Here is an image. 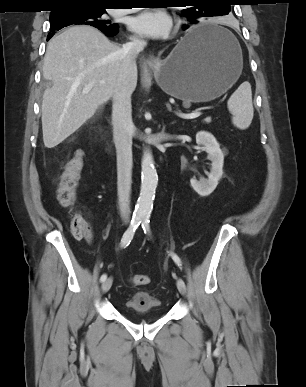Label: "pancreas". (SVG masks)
Listing matches in <instances>:
<instances>
[{"label": "pancreas", "mask_w": 306, "mask_h": 387, "mask_svg": "<svg viewBox=\"0 0 306 387\" xmlns=\"http://www.w3.org/2000/svg\"><path fill=\"white\" fill-rule=\"evenodd\" d=\"M204 121H205L206 123H210L211 119H210V118H206Z\"/></svg>", "instance_id": "pancreas-1"}]
</instances>
